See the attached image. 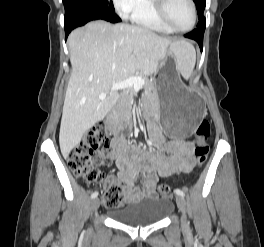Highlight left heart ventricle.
<instances>
[{
    "label": "left heart ventricle",
    "instance_id": "1",
    "mask_svg": "<svg viewBox=\"0 0 264 247\" xmlns=\"http://www.w3.org/2000/svg\"><path fill=\"white\" fill-rule=\"evenodd\" d=\"M166 14L173 25L188 27L192 21V10L188 0H167Z\"/></svg>",
    "mask_w": 264,
    "mask_h": 247
}]
</instances>
